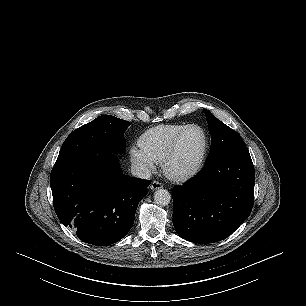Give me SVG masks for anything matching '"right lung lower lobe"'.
I'll return each instance as SVG.
<instances>
[{
    "mask_svg": "<svg viewBox=\"0 0 306 306\" xmlns=\"http://www.w3.org/2000/svg\"><path fill=\"white\" fill-rule=\"evenodd\" d=\"M149 184L124 175L114 153L81 154L55 165L50 174L59 220L79 239L97 246L127 235Z\"/></svg>",
    "mask_w": 306,
    "mask_h": 306,
    "instance_id": "right-lung-lower-lobe-1",
    "label": "right lung lower lobe"
}]
</instances>
